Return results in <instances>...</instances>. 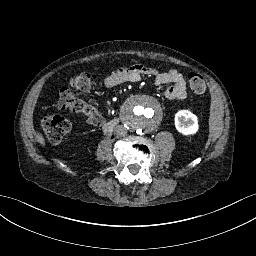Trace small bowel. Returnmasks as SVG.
I'll list each match as a JSON object with an SVG mask.
<instances>
[{"instance_id": "small-bowel-1", "label": "small bowel", "mask_w": 256, "mask_h": 256, "mask_svg": "<svg viewBox=\"0 0 256 256\" xmlns=\"http://www.w3.org/2000/svg\"><path fill=\"white\" fill-rule=\"evenodd\" d=\"M143 75L154 76L157 85L172 84L164 92L167 99H186L187 78L184 74L175 69L159 72L154 68L146 67L140 64L122 67L113 71L104 80H102L101 85L106 88H114L127 82L138 81Z\"/></svg>"}]
</instances>
